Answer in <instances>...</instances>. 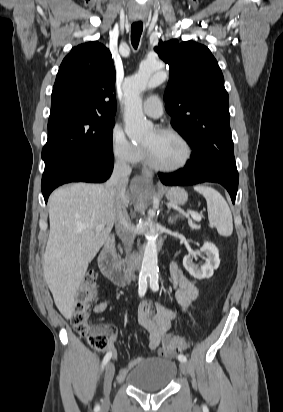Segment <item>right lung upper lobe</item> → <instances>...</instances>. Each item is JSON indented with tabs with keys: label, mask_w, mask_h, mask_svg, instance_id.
Here are the masks:
<instances>
[{
	"label": "right lung upper lobe",
	"mask_w": 283,
	"mask_h": 412,
	"mask_svg": "<svg viewBox=\"0 0 283 412\" xmlns=\"http://www.w3.org/2000/svg\"><path fill=\"white\" fill-rule=\"evenodd\" d=\"M115 75L111 53L104 45L94 41L72 48L56 76L50 115L92 111L114 120Z\"/></svg>",
	"instance_id": "right-lung-upper-lobe-1"
}]
</instances>
